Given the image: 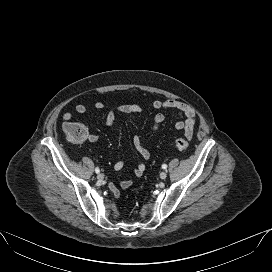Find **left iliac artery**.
<instances>
[{
  "mask_svg": "<svg viewBox=\"0 0 272 272\" xmlns=\"http://www.w3.org/2000/svg\"><path fill=\"white\" fill-rule=\"evenodd\" d=\"M162 168H163V169H166V168H167V165H166V164H163V165H162Z\"/></svg>",
  "mask_w": 272,
  "mask_h": 272,
  "instance_id": "obj_1",
  "label": "left iliac artery"
}]
</instances>
